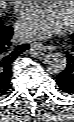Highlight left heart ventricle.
<instances>
[{
  "instance_id": "left-heart-ventricle-1",
  "label": "left heart ventricle",
  "mask_w": 74,
  "mask_h": 122,
  "mask_svg": "<svg viewBox=\"0 0 74 122\" xmlns=\"http://www.w3.org/2000/svg\"><path fill=\"white\" fill-rule=\"evenodd\" d=\"M44 4L54 8L57 14L65 21H70L72 17V1H42Z\"/></svg>"
}]
</instances>
